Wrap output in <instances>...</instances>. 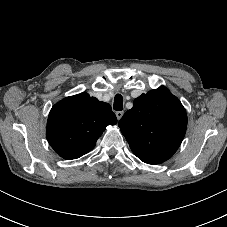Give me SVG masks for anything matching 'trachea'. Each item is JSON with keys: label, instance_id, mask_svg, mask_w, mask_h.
Wrapping results in <instances>:
<instances>
[{"label": "trachea", "instance_id": "3493384b", "mask_svg": "<svg viewBox=\"0 0 227 227\" xmlns=\"http://www.w3.org/2000/svg\"><path fill=\"white\" fill-rule=\"evenodd\" d=\"M113 109L116 111H121L123 109V97L121 94L115 95Z\"/></svg>", "mask_w": 227, "mask_h": 227}]
</instances>
